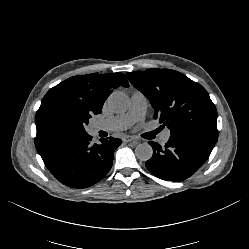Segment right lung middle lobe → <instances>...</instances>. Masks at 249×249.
<instances>
[{"instance_id":"dd1d6c3e","label":"right lung middle lobe","mask_w":249,"mask_h":249,"mask_svg":"<svg viewBox=\"0 0 249 249\" xmlns=\"http://www.w3.org/2000/svg\"><path fill=\"white\" fill-rule=\"evenodd\" d=\"M91 112L84 105L68 101H56L43 109L40 115L42 132L52 139L87 133L85 126Z\"/></svg>"}]
</instances>
